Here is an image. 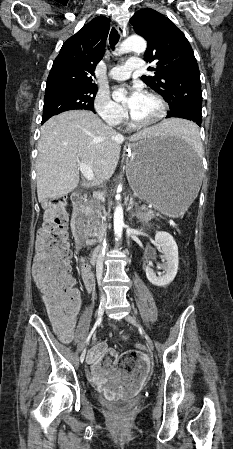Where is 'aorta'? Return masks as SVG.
I'll return each mask as SVG.
<instances>
[{
	"label": "aorta",
	"instance_id": "1",
	"mask_svg": "<svg viewBox=\"0 0 233 449\" xmlns=\"http://www.w3.org/2000/svg\"><path fill=\"white\" fill-rule=\"evenodd\" d=\"M147 44L146 41L139 36H131L126 39L120 47L116 50L117 54H123L128 52L135 53H144L146 50ZM114 100H122L123 94L121 92L113 93ZM124 217H123V209L120 204H118L114 211V233L116 236V241H119L122 237V231L124 227Z\"/></svg>",
	"mask_w": 233,
	"mask_h": 449
}]
</instances>
